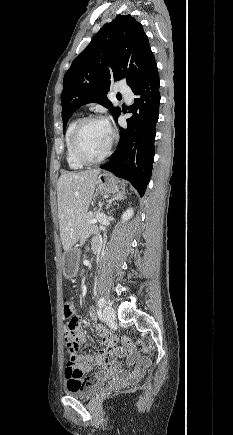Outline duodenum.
Instances as JSON below:
<instances>
[{"instance_id":"duodenum-1","label":"duodenum","mask_w":233,"mask_h":435,"mask_svg":"<svg viewBox=\"0 0 233 435\" xmlns=\"http://www.w3.org/2000/svg\"><path fill=\"white\" fill-rule=\"evenodd\" d=\"M93 249H94V251H97V250H98V245H97L96 243L94 244Z\"/></svg>"}]
</instances>
